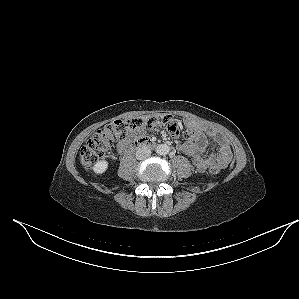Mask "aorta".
Returning a JSON list of instances; mask_svg holds the SVG:
<instances>
[{
    "mask_svg": "<svg viewBox=\"0 0 299 299\" xmlns=\"http://www.w3.org/2000/svg\"><path fill=\"white\" fill-rule=\"evenodd\" d=\"M157 153L160 154V155H166L169 153L170 151V148L168 145L166 144H162V145H159L157 146Z\"/></svg>",
    "mask_w": 299,
    "mask_h": 299,
    "instance_id": "762f6f07",
    "label": "aorta"
}]
</instances>
